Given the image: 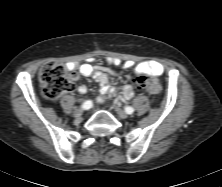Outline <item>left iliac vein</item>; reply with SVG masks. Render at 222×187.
Segmentation results:
<instances>
[{
    "label": "left iliac vein",
    "mask_w": 222,
    "mask_h": 187,
    "mask_svg": "<svg viewBox=\"0 0 222 187\" xmlns=\"http://www.w3.org/2000/svg\"><path fill=\"white\" fill-rule=\"evenodd\" d=\"M114 108H115L118 116H119L121 119H124V120H125V119L128 118V114H127L125 111L121 110V109L118 108V107H114Z\"/></svg>",
    "instance_id": "1"
}]
</instances>
